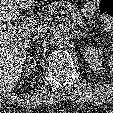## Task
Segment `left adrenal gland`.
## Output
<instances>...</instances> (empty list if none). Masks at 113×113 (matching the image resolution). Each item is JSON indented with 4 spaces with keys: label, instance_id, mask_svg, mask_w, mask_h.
<instances>
[{
    "label": "left adrenal gland",
    "instance_id": "left-adrenal-gland-1",
    "mask_svg": "<svg viewBox=\"0 0 113 113\" xmlns=\"http://www.w3.org/2000/svg\"><path fill=\"white\" fill-rule=\"evenodd\" d=\"M75 35L77 36L78 39L85 36V34L80 31H75Z\"/></svg>",
    "mask_w": 113,
    "mask_h": 113
}]
</instances>
